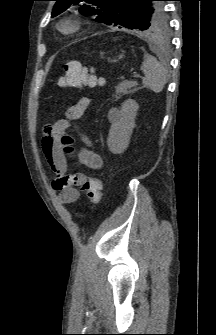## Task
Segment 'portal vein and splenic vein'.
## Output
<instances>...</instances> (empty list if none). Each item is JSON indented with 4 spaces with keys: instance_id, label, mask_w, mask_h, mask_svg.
Masks as SVG:
<instances>
[{
    "instance_id": "obj_1",
    "label": "portal vein and splenic vein",
    "mask_w": 216,
    "mask_h": 335,
    "mask_svg": "<svg viewBox=\"0 0 216 335\" xmlns=\"http://www.w3.org/2000/svg\"><path fill=\"white\" fill-rule=\"evenodd\" d=\"M134 78H142V76L138 75V74H134L133 75Z\"/></svg>"
}]
</instances>
